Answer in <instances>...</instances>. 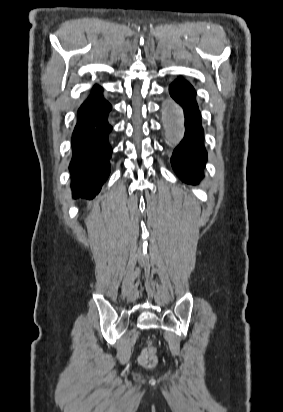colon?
Listing matches in <instances>:
<instances>
[{
  "mask_svg": "<svg viewBox=\"0 0 283 412\" xmlns=\"http://www.w3.org/2000/svg\"><path fill=\"white\" fill-rule=\"evenodd\" d=\"M158 362L157 350L154 346H146L139 356V363L146 368L155 366Z\"/></svg>",
  "mask_w": 283,
  "mask_h": 412,
  "instance_id": "colon-1",
  "label": "colon"
}]
</instances>
